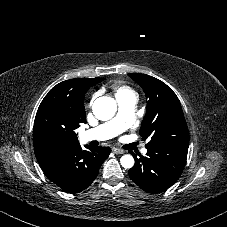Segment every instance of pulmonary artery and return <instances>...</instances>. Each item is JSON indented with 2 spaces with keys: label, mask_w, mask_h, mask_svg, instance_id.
Here are the masks:
<instances>
[{
  "label": "pulmonary artery",
  "mask_w": 227,
  "mask_h": 227,
  "mask_svg": "<svg viewBox=\"0 0 227 227\" xmlns=\"http://www.w3.org/2000/svg\"><path fill=\"white\" fill-rule=\"evenodd\" d=\"M136 97H131L119 102V113L112 120L97 126L94 129L87 130L80 135L83 143L92 140H108L118 136L126 131L132 124L135 116ZM141 153L145 155L146 149H142Z\"/></svg>",
  "instance_id": "e3ab8cb5"
}]
</instances>
